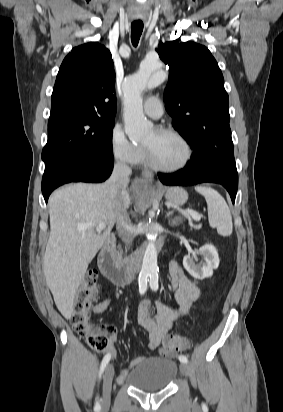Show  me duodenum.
I'll return each mask as SVG.
<instances>
[{
	"instance_id": "obj_1",
	"label": "duodenum",
	"mask_w": 283,
	"mask_h": 412,
	"mask_svg": "<svg viewBox=\"0 0 283 412\" xmlns=\"http://www.w3.org/2000/svg\"><path fill=\"white\" fill-rule=\"evenodd\" d=\"M161 242L157 241L155 247L159 248ZM144 249H142L135 257L128 261L120 263L114 252V236H109L98 256L99 267L103 275L109 279L113 284L124 286L130 283L137 272L143 257Z\"/></svg>"
}]
</instances>
